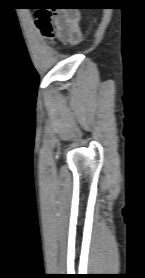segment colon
Listing matches in <instances>:
<instances>
[{
  "label": "colon",
  "mask_w": 145,
  "mask_h": 278,
  "mask_svg": "<svg viewBox=\"0 0 145 278\" xmlns=\"http://www.w3.org/2000/svg\"><path fill=\"white\" fill-rule=\"evenodd\" d=\"M64 2L54 6H40L35 12L36 25L41 34L49 38L55 30V17L53 11L55 8H60L68 11H83L85 8H89L86 4L80 2H74L73 0H63ZM76 24L73 22L69 25V28L74 29Z\"/></svg>",
  "instance_id": "1"
}]
</instances>
